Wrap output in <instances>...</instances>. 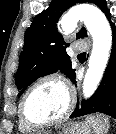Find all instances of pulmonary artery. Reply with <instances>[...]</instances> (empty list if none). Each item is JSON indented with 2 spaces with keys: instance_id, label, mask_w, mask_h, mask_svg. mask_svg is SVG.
<instances>
[{
  "instance_id": "obj_1",
  "label": "pulmonary artery",
  "mask_w": 116,
  "mask_h": 134,
  "mask_svg": "<svg viewBox=\"0 0 116 134\" xmlns=\"http://www.w3.org/2000/svg\"><path fill=\"white\" fill-rule=\"evenodd\" d=\"M87 47H88V45L85 41H76L72 45V50L75 53H80V52L85 51L87 49Z\"/></svg>"
}]
</instances>
